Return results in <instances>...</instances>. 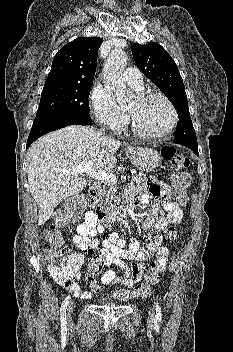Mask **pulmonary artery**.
<instances>
[{
	"label": "pulmonary artery",
	"mask_w": 233,
	"mask_h": 352,
	"mask_svg": "<svg viewBox=\"0 0 233 352\" xmlns=\"http://www.w3.org/2000/svg\"><path fill=\"white\" fill-rule=\"evenodd\" d=\"M123 80L133 89L139 91L143 88L142 74L136 68H127L123 72Z\"/></svg>",
	"instance_id": "obj_1"
}]
</instances>
